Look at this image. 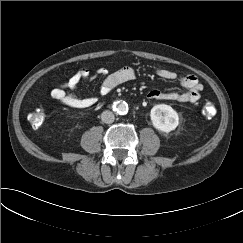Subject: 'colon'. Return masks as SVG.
<instances>
[{
	"label": "colon",
	"mask_w": 243,
	"mask_h": 243,
	"mask_svg": "<svg viewBox=\"0 0 243 243\" xmlns=\"http://www.w3.org/2000/svg\"><path fill=\"white\" fill-rule=\"evenodd\" d=\"M202 113L208 118L213 117L216 113L215 106L212 103H205L202 107ZM28 121L34 128L41 126L44 121L43 110L41 108H37L30 112L28 115Z\"/></svg>",
	"instance_id": "1"
}]
</instances>
